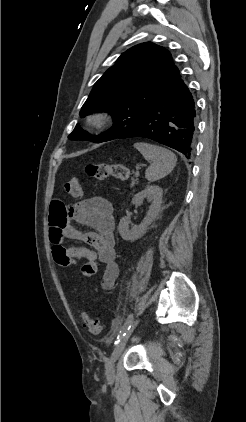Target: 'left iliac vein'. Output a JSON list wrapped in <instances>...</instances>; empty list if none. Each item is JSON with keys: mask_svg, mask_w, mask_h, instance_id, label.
Listing matches in <instances>:
<instances>
[{"mask_svg": "<svg viewBox=\"0 0 246 422\" xmlns=\"http://www.w3.org/2000/svg\"><path fill=\"white\" fill-rule=\"evenodd\" d=\"M139 321H140V319H137V320H135L131 323L130 328L125 331V335H122L120 337L119 342L115 346L113 353L111 355V358L108 361V363L106 364V375H107V379L109 381H112L114 379L115 363L118 360V358L120 357L129 337L131 336L132 332L134 331V329L138 325Z\"/></svg>", "mask_w": 246, "mask_h": 422, "instance_id": "4c4485c4", "label": "left iliac vein"}]
</instances>
